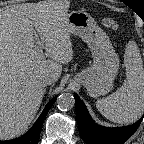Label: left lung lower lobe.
<instances>
[{"mask_svg":"<svg viewBox=\"0 0 144 144\" xmlns=\"http://www.w3.org/2000/svg\"><path fill=\"white\" fill-rule=\"evenodd\" d=\"M76 119L82 139L87 144H122L136 131L141 120L131 126L106 128L96 124L84 103L75 94Z\"/></svg>","mask_w":144,"mask_h":144,"instance_id":"0a47b994","label":"left lung lower lobe"}]
</instances>
